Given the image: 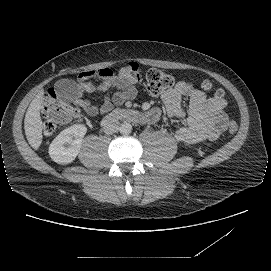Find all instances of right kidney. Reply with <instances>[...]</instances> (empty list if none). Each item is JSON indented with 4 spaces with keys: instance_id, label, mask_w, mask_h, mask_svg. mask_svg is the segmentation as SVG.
<instances>
[{
    "instance_id": "right-kidney-1",
    "label": "right kidney",
    "mask_w": 271,
    "mask_h": 271,
    "mask_svg": "<svg viewBox=\"0 0 271 271\" xmlns=\"http://www.w3.org/2000/svg\"><path fill=\"white\" fill-rule=\"evenodd\" d=\"M86 132L83 124H74L61 131L49 146L51 159L58 164L71 163L80 151Z\"/></svg>"
}]
</instances>
